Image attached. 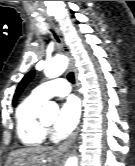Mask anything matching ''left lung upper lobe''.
<instances>
[{"instance_id":"5c2ea615","label":"left lung upper lobe","mask_w":135,"mask_h":166,"mask_svg":"<svg viewBox=\"0 0 135 166\" xmlns=\"http://www.w3.org/2000/svg\"><path fill=\"white\" fill-rule=\"evenodd\" d=\"M33 76H34V71H30L21 80V82L19 83V85L16 89L14 99H13V103H15V101L17 100V98L19 97V95L21 94L23 89L25 88V86L32 80Z\"/></svg>"}]
</instances>
